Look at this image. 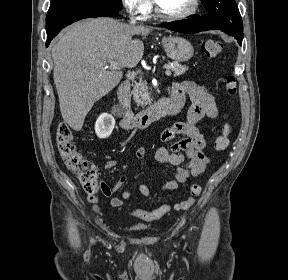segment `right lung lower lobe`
Instances as JSON below:
<instances>
[{
	"mask_svg": "<svg viewBox=\"0 0 288 280\" xmlns=\"http://www.w3.org/2000/svg\"><path fill=\"white\" fill-rule=\"evenodd\" d=\"M119 11L96 0H71L51 7L46 17V46L61 29L75 21L90 17H114Z\"/></svg>",
	"mask_w": 288,
	"mask_h": 280,
	"instance_id": "obj_1",
	"label": "right lung lower lobe"
}]
</instances>
